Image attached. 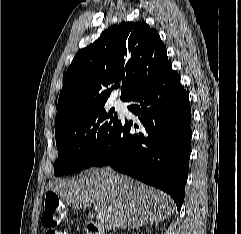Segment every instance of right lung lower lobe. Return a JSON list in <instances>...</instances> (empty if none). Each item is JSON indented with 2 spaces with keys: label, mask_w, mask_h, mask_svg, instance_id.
<instances>
[{
  "label": "right lung lower lobe",
  "mask_w": 241,
  "mask_h": 234,
  "mask_svg": "<svg viewBox=\"0 0 241 234\" xmlns=\"http://www.w3.org/2000/svg\"><path fill=\"white\" fill-rule=\"evenodd\" d=\"M129 101L138 124L121 121L92 166L110 165L163 190L180 210L189 169L191 107L171 62ZM131 127L135 132H130Z\"/></svg>",
  "instance_id": "98d812e1"
}]
</instances>
